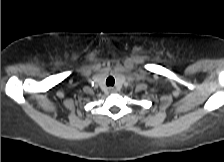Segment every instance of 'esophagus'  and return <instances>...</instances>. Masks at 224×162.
Returning <instances> with one entry per match:
<instances>
[{"mask_svg":"<svg viewBox=\"0 0 224 162\" xmlns=\"http://www.w3.org/2000/svg\"><path fill=\"white\" fill-rule=\"evenodd\" d=\"M109 93H116V89L114 87H109L108 88Z\"/></svg>","mask_w":224,"mask_h":162,"instance_id":"esophagus-1","label":"esophagus"}]
</instances>
